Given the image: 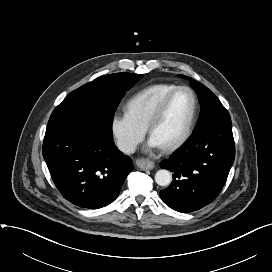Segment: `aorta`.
<instances>
[{
    "mask_svg": "<svg viewBox=\"0 0 272 272\" xmlns=\"http://www.w3.org/2000/svg\"><path fill=\"white\" fill-rule=\"evenodd\" d=\"M172 181V175L168 170L161 169L155 174V182L160 186H167Z\"/></svg>",
    "mask_w": 272,
    "mask_h": 272,
    "instance_id": "1",
    "label": "aorta"
}]
</instances>
